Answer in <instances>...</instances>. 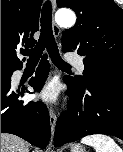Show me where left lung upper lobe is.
I'll return each instance as SVG.
<instances>
[{
	"instance_id": "5c2ea615",
	"label": "left lung upper lobe",
	"mask_w": 123,
	"mask_h": 152,
	"mask_svg": "<svg viewBox=\"0 0 123 152\" xmlns=\"http://www.w3.org/2000/svg\"><path fill=\"white\" fill-rule=\"evenodd\" d=\"M77 15L76 24L62 35L63 51L83 56V77L71 78L85 85L89 77L123 78V10L113 0H57Z\"/></svg>"
}]
</instances>
